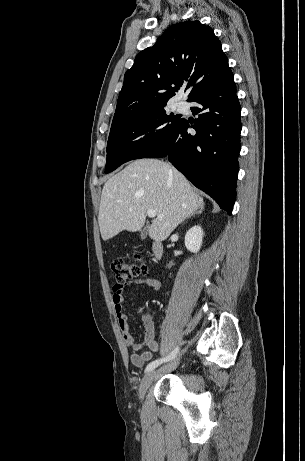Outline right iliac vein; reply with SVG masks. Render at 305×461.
Here are the masks:
<instances>
[{
	"label": "right iliac vein",
	"mask_w": 305,
	"mask_h": 461,
	"mask_svg": "<svg viewBox=\"0 0 305 461\" xmlns=\"http://www.w3.org/2000/svg\"><path fill=\"white\" fill-rule=\"evenodd\" d=\"M155 376V371H149L142 379L139 387V397L140 399L144 398V395L147 391V389L150 387V385L153 382Z\"/></svg>",
	"instance_id": "63e3f726"
}]
</instances>
